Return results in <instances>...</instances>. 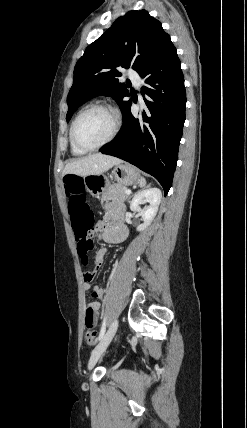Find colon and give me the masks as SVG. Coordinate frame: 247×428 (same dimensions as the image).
<instances>
[{
  "label": "colon",
  "instance_id": "5ec220e1",
  "mask_svg": "<svg viewBox=\"0 0 247 428\" xmlns=\"http://www.w3.org/2000/svg\"><path fill=\"white\" fill-rule=\"evenodd\" d=\"M64 189L67 196L66 211L72 217L75 237L77 239V249L83 265L88 264V253L93 248L91 234L93 230L94 218L91 208L86 204L85 189L83 180L75 175H67L63 180ZM87 313L84 320L86 333L84 341L88 345L95 342L96 331L94 330L100 321L102 313L101 306L97 300H87Z\"/></svg>",
  "mask_w": 247,
  "mask_h": 428
}]
</instances>
